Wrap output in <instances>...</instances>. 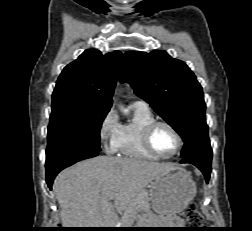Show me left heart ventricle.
<instances>
[{
    "instance_id": "left-heart-ventricle-1",
    "label": "left heart ventricle",
    "mask_w": 252,
    "mask_h": 231,
    "mask_svg": "<svg viewBox=\"0 0 252 231\" xmlns=\"http://www.w3.org/2000/svg\"><path fill=\"white\" fill-rule=\"evenodd\" d=\"M152 145L159 154L169 156L177 149L178 143L167 127L158 126L152 134Z\"/></svg>"
}]
</instances>
